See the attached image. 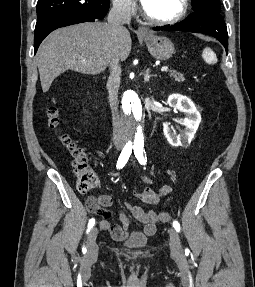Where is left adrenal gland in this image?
<instances>
[{"label":"left adrenal gland","mask_w":255,"mask_h":287,"mask_svg":"<svg viewBox=\"0 0 255 287\" xmlns=\"http://www.w3.org/2000/svg\"><path fill=\"white\" fill-rule=\"evenodd\" d=\"M150 70H146L145 76V82H149L150 78H152L151 74H149Z\"/></svg>","instance_id":"obj_1"}]
</instances>
